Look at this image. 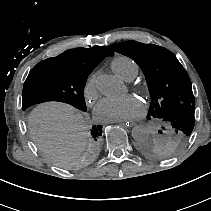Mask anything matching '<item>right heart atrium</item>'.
<instances>
[{
	"label": "right heart atrium",
	"instance_id": "d8ad5b80",
	"mask_svg": "<svg viewBox=\"0 0 211 211\" xmlns=\"http://www.w3.org/2000/svg\"><path fill=\"white\" fill-rule=\"evenodd\" d=\"M83 95L87 103H93L100 95L97 74L92 73L83 85Z\"/></svg>",
	"mask_w": 211,
	"mask_h": 211
}]
</instances>
